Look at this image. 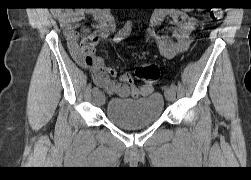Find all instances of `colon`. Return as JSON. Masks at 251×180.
<instances>
[{"label":"colon","instance_id":"colon-1","mask_svg":"<svg viewBox=\"0 0 251 180\" xmlns=\"http://www.w3.org/2000/svg\"><path fill=\"white\" fill-rule=\"evenodd\" d=\"M210 16L214 21H218L222 17V10L214 8L210 11ZM159 75V68L154 64H143L137 67L135 71L136 78L148 86H153L157 82Z\"/></svg>","mask_w":251,"mask_h":180}]
</instances>
